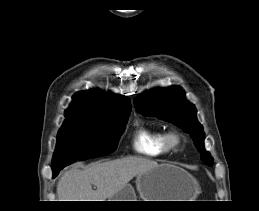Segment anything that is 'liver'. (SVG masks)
<instances>
[{
	"label": "liver",
	"mask_w": 259,
	"mask_h": 211,
	"mask_svg": "<svg viewBox=\"0 0 259 211\" xmlns=\"http://www.w3.org/2000/svg\"><path fill=\"white\" fill-rule=\"evenodd\" d=\"M146 158L127 157L96 162L87 169L72 167L57 183L59 201H106L140 173L158 167ZM92 185L96 187L93 190Z\"/></svg>",
	"instance_id": "liver-1"
}]
</instances>
